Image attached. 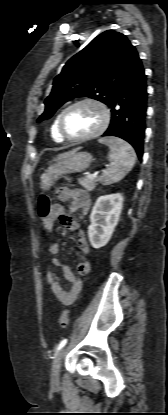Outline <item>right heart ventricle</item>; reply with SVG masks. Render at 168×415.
Returning a JSON list of instances; mask_svg holds the SVG:
<instances>
[{"mask_svg":"<svg viewBox=\"0 0 168 415\" xmlns=\"http://www.w3.org/2000/svg\"><path fill=\"white\" fill-rule=\"evenodd\" d=\"M59 115H60V114H58V115L54 118V120H53V122H52V124H51V127H50V136H51V138H52L55 142H57V143H62V142H64L65 140H64V138L60 135L59 130H58V119H59Z\"/></svg>","mask_w":168,"mask_h":415,"instance_id":"e07e8e85","label":"right heart ventricle"}]
</instances>
